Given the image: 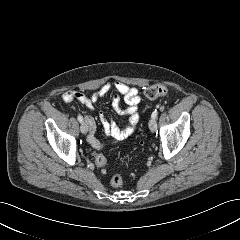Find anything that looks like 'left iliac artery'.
<instances>
[{"label":"left iliac artery","instance_id":"44dca946","mask_svg":"<svg viewBox=\"0 0 240 240\" xmlns=\"http://www.w3.org/2000/svg\"><path fill=\"white\" fill-rule=\"evenodd\" d=\"M157 115H158V111L155 109V110L152 112L151 117H152L153 119H156V118H157Z\"/></svg>","mask_w":240,"mask_h":240}]
</instances>
